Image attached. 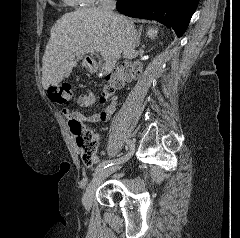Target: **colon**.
Instances as JSON below:
<instances>
[{
  "label": "colon",
  "instance_id": "obj_1",
  "mask_svg": "<svg viewBox=\"0 0 240 238\" xmlns=\"http://www.w3.org/2000/svg\"><path fill=\"white\" fill-rule=\"evenodd\" d=\"M139 74V68L131 66L110 72L106 75L103 87L102 101L108 100L113 96L116 89L121 87L126 81ZM49 98L59 104L68 102L73 96V87L68 83L52 85L47 90ZM69 128L75 137L77 147L82 159L86 163H93V157L98 151V142L92 130L85 128L77 119L68 120Z\"/></svg>",
  "mask_w": 240,
  "mask_h": 238
}]
</instances>
